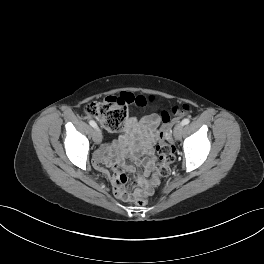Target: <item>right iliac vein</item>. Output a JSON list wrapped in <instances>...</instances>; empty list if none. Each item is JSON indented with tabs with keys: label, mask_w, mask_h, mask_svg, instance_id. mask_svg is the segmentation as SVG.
I'll return each mask as SVG.
<instances>
[{
	"label": "right iliac vein",
	"mask_w": 264,
	"mask_h": 264,
	"mask_svg": "<svg viewBox=\"0 0 264 264\" xmlns=\"http://www.w3.org/2000/svg\"><path fill=\"white\" fill-rule=\"evenodd\" d=\"M94 141L96 144H100L102 141V133L99 129H96L94 132Z\"/></svg>",
	"instance_id": "1"
}]
</instances>
